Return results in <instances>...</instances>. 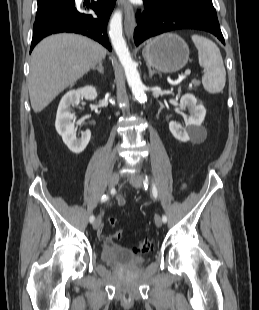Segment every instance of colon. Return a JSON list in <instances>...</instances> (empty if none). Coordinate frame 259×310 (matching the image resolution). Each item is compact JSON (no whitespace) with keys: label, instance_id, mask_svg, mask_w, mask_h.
I'll return each mask as SVG.
<instances>
[{"label":"colon","instance_id":"1","mask_svg":"<svg viewBox=\"0 0 259 310\" xmlns=\"http://www.w3.org/2000/svg\"><path fill=\"white\" fill-rule=\"evenodd\" d=\"M109 223L111 225L116 224V219L114 217L109 218ZM123 236V231L121 229H116L113 233V237L115 239H120ZM153 247V242L150 239H145L140 241L135 247L134 251L138 254H146L148 253Z\"/></svg>","mask_w":259,"mask_h":310}]
</instances>
